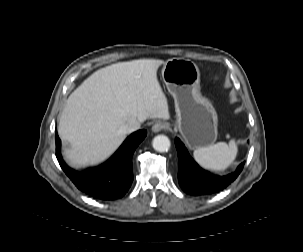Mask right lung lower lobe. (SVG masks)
Here are the masks:
<instances>
[{
	"mask_svg": "<svg viewBox=\"0 0 303 252\" xmlns=\"http://www.w3.org/2000/svg\"><path fill=\"white\" fill-rule=\"evenodd\" d=\"M146 135V130L134 132L104 164L85 172H77L63 161L61 140L56 132V157L63 171L79 190L97 199H118L124 196L132 184V155Z\"/></svg>",
	"mask_w": 303,
	"mask_h": 252,
	"instance_id": "1",
	"label": "right lung lower lobe"
}]
</instances>
